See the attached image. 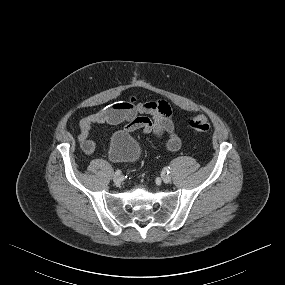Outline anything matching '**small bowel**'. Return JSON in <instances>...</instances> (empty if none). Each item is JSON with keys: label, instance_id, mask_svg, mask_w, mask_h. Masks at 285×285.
Returning <instances> with one entry per match:
<instances>
[{"label": "small bowel", "instance_id": "small-bowel-1", "mask_svg": "<svg viewBox=\"0 0 285 285\" xmlns=\"http://www.w3.org/2000/svg\"><path fill=\"white\" fill-rule=\"evenodd\" d=\"M123 122L127 132L141 130L143 134H152L155 139L166 137V148L170 152H176L181 147L169 104L164 100L139 102L135 97L114 102L82 118L78 135L80 146L86 153H94L96 144L89 138L91 127L94 124L117 125Z\"/></svg>", "mask_w": 285, "mask_h": 285}]
</instances>
